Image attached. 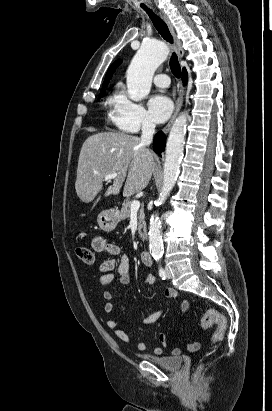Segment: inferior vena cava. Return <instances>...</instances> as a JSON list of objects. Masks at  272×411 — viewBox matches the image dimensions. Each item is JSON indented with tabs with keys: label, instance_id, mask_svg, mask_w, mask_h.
Returning <instances> with one entry per match:
<instances>
[{
	"label": "inferior vena cava",
	"instance_id": "602c4592",
	"mask_svg": "<svg viewBox=\"0 0 272 411\" xmlns=\"http://www.w3.org/2000/svg\"><path fill=\"white\" fill-rule=\"evenodd\" d=\"M155 127L156 125L149 121V120H144L142 123V134H141V145L142 146H148L151 144L153 135L155 133Z\"/></svg>",
	"mask_w": 272,
	"mask_h": 411
}]
</instances>
